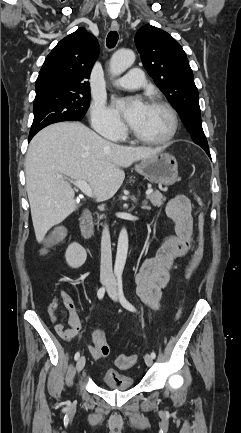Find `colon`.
<instances>
[{
  "mask_svg": "<svg viewBox=\"0 0 241 433\" xmlns=\"http://www.w3.org/2000/svg\"><path fill=\"white\" fill-rule=\"evenodd\" d=\"M204 227H205V218L201 213L198 217V243L196 250L186 268L185 279L188 280L191 275L196 271L199 267L201 260L205 251V239H204ZM60 236H55L52 238L51 243L57 242ZM98 353L100 357H107L110 353V347L106 341H102L98 345ZM116 365L119 369L127 370L130 369L136 362L135 355H124L121 354L116 358Z\"/></svg>",
  "mask_w": 241,
  "mask_h": 433,
  "instance_id": "colon-1",
  "label": "colon"
}]
</instances>
